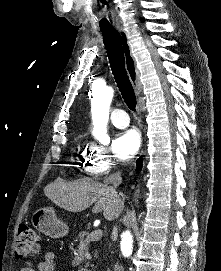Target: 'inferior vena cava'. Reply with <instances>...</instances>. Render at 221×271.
Masks as SVG:
<instances>
[{
  "instance_id": "1",
  "label": "inferior vena cava",
  "mask_w": 221,
  "mask_h": 271,
  "mask_svg": "<svg viewBox=\"0 0 221 271\" xmlns=\"http://www.w3.org/2000/svg\"><path fill=\"white\" fill-rule=\"evenodd\" d=\"M105 183H107L105 187L106 195L105 197H110V199H114V197H119L116 187L120 185L122 181V177L120 175V171H117V173H113V175H109L107 179H104ZM110 183V185H108ZM118 233V225H114L113 227V235H117ZM114 271H124L123 265L121 263H115L114 265Z\"/></svg>"
}]
</instances>
